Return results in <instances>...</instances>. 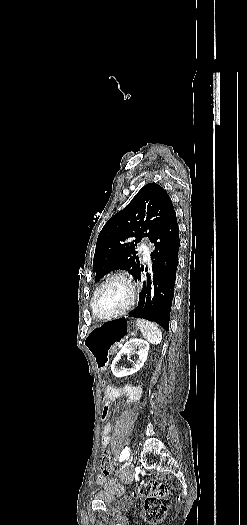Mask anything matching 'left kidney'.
<instances>
[{"label":"left kidney","instance_id":"5707ae66","mask_svg":"<svg viewBox=\"0 0 247 525\" xmlns=\"http://www.w3.org/2000/svg\"><path fill=\"white\" fill-rule=\"evenodd\" d=\"M148 351L149 343H147V341H142V339H131V341H128V343L123 345L121 351H119L117 357H115L111 365L112 373H114V375H133V373H137V371L143 367L148 357ZM125 353H127V355H130V353H138L139 355L138 361H136L133 369L128 371V373L127 371H118V369H115L117 361H119L120 357L125 355Z\"/></svg>","mask_w":247,"mask_h":525}]
</instances>
